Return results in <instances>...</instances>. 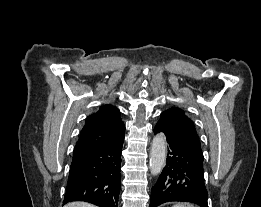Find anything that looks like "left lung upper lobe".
Masks as SVG:
<instances>
[{
    "instance_id": "5c2ea615",
    "label": "left lung upper lobe",
    "mask_w": 261,
    "mask_h": 207,
    "mask_svg": "<svg viewBox=\"0 0 261 207\" xmlns=\"http://www.w3.org/2000/svg\"><path fill=\"white\" fill-rule=\"evenodd\" d=\"M158 122L173 132L179 141L196 157L204 159L195 124L182 109L172 107L164 111L161 113Z\"/></svg>"
}]
</instances>
